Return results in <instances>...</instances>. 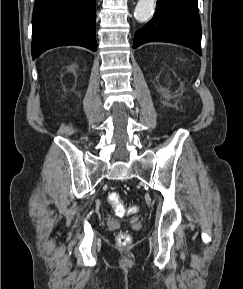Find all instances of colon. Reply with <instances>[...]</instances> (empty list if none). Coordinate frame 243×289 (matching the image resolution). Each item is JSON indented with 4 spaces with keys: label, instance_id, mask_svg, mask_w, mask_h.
Listing matches in <instances>:
<instances>
[{
    "label": "colon",
    "instance_id": "1",
    "mask_svg": "<svg viewBox=\"0 0 243 289\" xmlns=\"http://www.w3.org/2000/svg\"><path fill=\"white\" fill-rule=\"evenodd\" d=\"M108 202L113 208L116 215L119 217H123L126 214L133 213L137 210L136 207H131L129 209H126L122 202V199L116 192L109 194ZM117 242L123 246L128 245L131 242V236L127 232L121 231L117 236Z\"/></svg>",
    "mask_w": 243,
    "mask_h": 289
}]
</instances>
